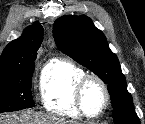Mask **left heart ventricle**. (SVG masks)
Returning a JSON list of instances; mask_svg holds the SVG:
<instances>
[{
  "label": "left heart ventricle",
  "mask_w": 145,
  "mask_h": 124,
  "mask_svg": "<svg viewBox=\"0 0 145 124\" xmlns=\"http://www.w3.org/2000/svg\"><path fill=\"white\" fill-rule=\"evenodd\" d=\"M104 101L102 89L96 83H90L84 93V107L87 113L96 114Z\"/></svg>",
  "instance_id": "1"
}]
</instances>
